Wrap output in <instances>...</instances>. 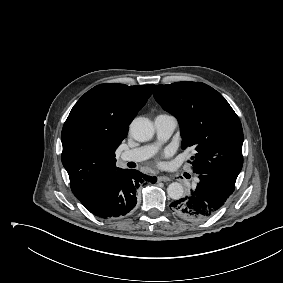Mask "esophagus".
Listing matches in <instances>:
<instances>
[{
	"mask_svg": "<svg viewBox=\"0 0 283 283\" xmlns=\"http://www.w3.org/2000/svg\"><path fill=\"white\" fill-rule=\"evenodd\" d=\"M158 181L169 182L171 181V178L165 175H161L158 177Z\"/></svg>",
	"mask_w": 283,
	"mask_h": 283,
	"instance_id": "1",
	"label": "esophagus"
}]
</instances>
